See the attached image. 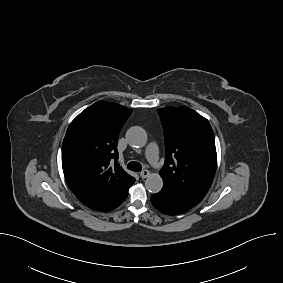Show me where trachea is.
I'll list each match as a JSON object with an SVG mask.
<instances>
[{
	"mask_svg": "<svg viewBox=\"0 0 283 283\" xmlns=\"http://www.w3.org/2000/svg\"><path fill=\"white\" fill-rule=\"evenodd\" d=\"M127 168L131 171L140 172L142 165L139 162L131 161L128 163Z\"/></svg>",
	"mask_w": 283,
	"mask_h": 283,
	"instance_id": "obj_1",
	"label": "trachea"
}]
</instances>
